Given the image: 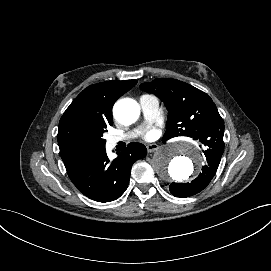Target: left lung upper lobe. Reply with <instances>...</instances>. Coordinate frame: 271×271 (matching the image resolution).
<instances>
[{"label": "left lung upper lobe", "mask_w": 271, "mask_h": 271, "mask_svg": "<svg viewBox=\"0 0 271 271\" xmlns=\"http://www.w3.org/2000/svg\"><path fill=\"white\" fill-rule=\"evenodd\" d=\"M140 87L159 97L169 111L163 140L188 136L205 146L224 149V121L206 93L185 82L166 78L154 79Z\"/></svg>", "instance_id": "obj_1"}]
</instances>
